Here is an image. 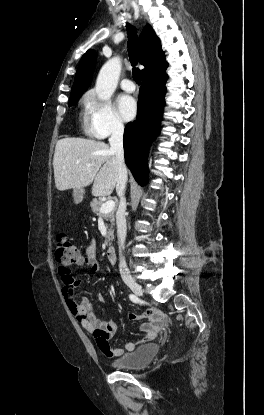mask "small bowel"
<instances>
[{
    "mask_svg": "<svg viewBox=\"0 0 264 415\" xmlns=\"http://www.w3.org/2000/svg\"><path fill=\"white\" fill-rule=\"evenodd\" d=\"M80 265L86 266L95 276L100 273V266L96 257V249L93 243L89 244L85 250L84 258ZM59 275L63 283V290L66 296L69 290L73 292L80 285V280L72 276V268H59ZM97 300L101 304H105V298L101 294L96 295ZM68 301V300H67ZM68 306L83 327L98 343L101 351L106 355L121 356L125 352L133 351L136 345H141L153 341L158 336L160 329L167 321L165 314L157 309H149L145 312L129 313L128 318L131 321H146L139 325V330L144 333L143 337L137 342H127L123 347L111 348L110 338L116 334L117 325L113 319L101 320L94 312L91 302L84 296L79 300L68 301Z\"/></svg>",
    "mask_w": 264,
    "mask_h": 415,
    "instance_id": "small-bowel-1",
    "label": "small bowel"
}]
</instances>
